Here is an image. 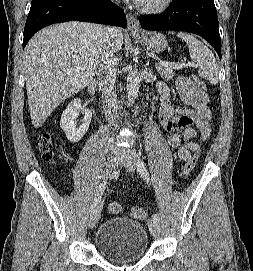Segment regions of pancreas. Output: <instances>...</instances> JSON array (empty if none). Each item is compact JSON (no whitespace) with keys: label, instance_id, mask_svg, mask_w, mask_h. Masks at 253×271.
<instances>
[{"label":"pancreas","instance_id":"cf45deb5","mask_svg":"<svg viewBox=\"0 0 253 271\" xmlns=\"http://www.w3.org/2000/svg\"><path fill=\"white\" fill-rule=\"evenodd\" d=\"M157 70L160 76L162 78H165L166 80H171L175 76V72L173 71V68L160 65L157 67Z\"/></svg>","mask_w":253,"mask_h":271}]
</instances>
